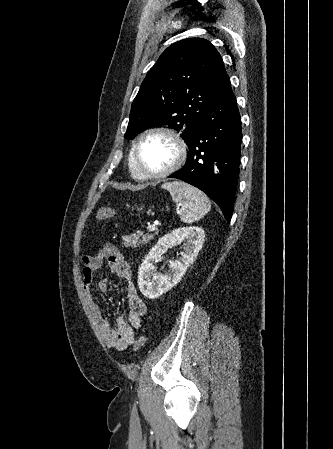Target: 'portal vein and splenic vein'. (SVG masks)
I'll list each match as a JSON object with an SVG mask.
<instances>
[{"label":"portal vein and splenic vein","instance_id":"18ae733b","mask_svg":"<svg viewBox=\"0 0 333 449\" xmlns=\"http://www.w3.org/2000/svg\"><path fill=\"white\" fill-rule=\"evenodd\" d=\"M149 231H155L157 229L156 225H151L148 227Z\"/></svg>","mask_w":333,"mask_h":449}]
</instances>
